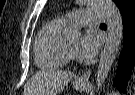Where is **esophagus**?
Listing matches in <instances>:
<instances>
[{
  "mask_svg": "<svg viewBox=\"0 0 135 95\" xmlns=\"http://www.w3.org/2000/svg\"><path fill=\"white\" fill-rule=\"evenodd\" d=\"M91 75V71H87L77 78L79 82H88Z\"/></svg>",
  "mask_w": 135,
  "mask_h": 95,
  "instance_id": "1",
  "label": "esophagus"
}]
</instances>
